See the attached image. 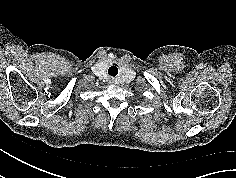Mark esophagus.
<instances>
[{
  "label": "esophagus",
  "mask_w": 236,
  "mask_h": 178,
  "mask_svg": "<svg viewBox=\"0 0 236 178\" xmlns=\"http://www.w3.org/2000/svg\"><path fill=\"white\" fill-rule=\"evenodd\" d=\"M110 83H114V79H110Z\"/></svg>",
  "instance_id": "esophagus-1"
}]
</instances>
